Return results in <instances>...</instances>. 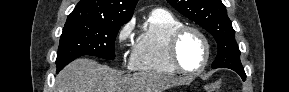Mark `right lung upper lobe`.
<instances>
[{"instance_id": "cb5924a9", "label": "right lung upper lobe", "mask_w": 289, "mask_h": 92, "mask_svg": "<svg viewBox=\"0 0 289 92\" xmlns=\"http://www.w3.org/2000/svg\"><path fill=\"white\" fill-rule=\"evenodd\" d=\"M137 0H80L67 22L127 23Z\"/></svg>"}]
</instances>
